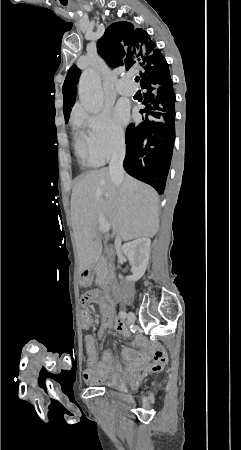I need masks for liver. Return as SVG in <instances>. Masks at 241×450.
Instances as JSON below:
<instances>
[{
  "label": "liver",
  "mask_w": 241,
  "mask_h": 450,
  "mask_svg": "<svg viewBox=\"0 0 241 450\" xmlns=\"http://www.w3.org/2000/svg\"><path fill=\"white\" fill-rule=\"evenodd\" d=\"M159 196L151 186L124 176L117 190L108 168L88 172L77 180L71 196V218L78 270L83 274L100 258L98 224L107 222L123 242L153 238L159 230Z\"/></svg>",
  "instance_id": "1"
}]
</instances>
